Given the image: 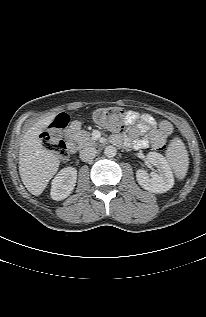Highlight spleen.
Returning a JSON list of instances; mask_svg holds the SVG:
<instances>
[{"mask_svg": "<svg viewBox=\"0 0 206 317\" xmlns=\"http://www.w3.org/2000/svg\"><path fill=\"white\" fill-rule=\"evenodd\" d=\"M167 161L178 179H183L187 173L189 158L181 139L175 138L166 151Z\"/></svg>", "mask_w": 206, "mask_h": 317, "instance_id": "3e777b00", "label": "spleen"}]
</instances>
